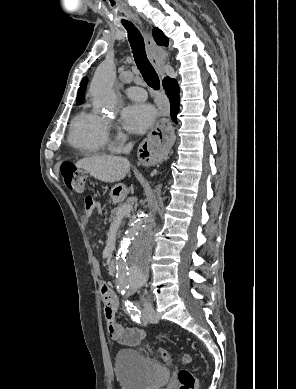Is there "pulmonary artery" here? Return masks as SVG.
Segmentation results:
<instances>
[{
	"label": "pulmonary artery",
	"instance_id": "obj_1",
	"mask_svg": "<svg viewBox=\"0 0 296 389\" xmlns=\"http://www.w3.org/2000/svg\"><path fill=\"white\" fill-rule=\"evenodd\" d=\"M125 93L129 98L136 101H144L147 98L145 90L138 86H131L126 88Z\"/></svg>",
	"mask_w": 296,
	"mask_h": 389
}]
</instances>
